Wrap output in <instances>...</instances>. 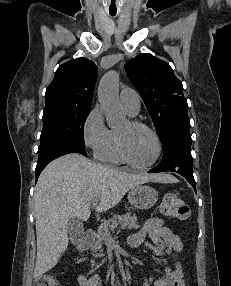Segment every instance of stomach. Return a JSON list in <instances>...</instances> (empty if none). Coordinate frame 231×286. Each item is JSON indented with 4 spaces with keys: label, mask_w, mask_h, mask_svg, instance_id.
Wrapping results in <instances>:
<instances>
[{
    "label": "stomach",
    "mask_w": 231,
    "mask_h": 286,
    "mask_svg": "<svg viewBox=\"0 0 231 286\" xmlns=\"http://www.w3.org/2000/svg\"><path fill=\"white\" fill-rule=\"evenodd\" d=\"M129 203L137 209H149L158 200V192L149 185H138L128 193Z\"/></svg>",
    "instance_id": "0dacf381"
}]
</instances>
